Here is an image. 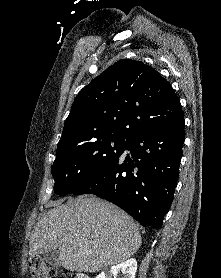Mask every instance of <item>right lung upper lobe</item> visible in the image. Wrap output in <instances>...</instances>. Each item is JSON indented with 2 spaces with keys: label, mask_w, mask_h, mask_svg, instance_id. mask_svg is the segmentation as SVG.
Instances as JSON below:
<instances>
[{
  "label": "right lung upper lobe",
  "mask_w": 221,
  "mask_h": 278,
  "mask_svg": "<svg viewBox=\"0 0 221 278\" xmlns=\"http://www.w3.org/2000/svg\"><path fill=\"white\" fill-rule=\"evenodd\" d=\"M184 117L170 83L141 61L116 62L76 96L57 152L90 139L130 136Z\"/></svg>",
  "instance_id": "1"
}]
</instances>
